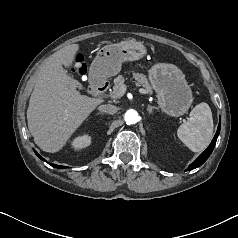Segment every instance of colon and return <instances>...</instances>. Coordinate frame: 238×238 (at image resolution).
I'll return each mask as SVG.
<instances>
[{
    "instance_id": "1",
    "label": "colon",
    "mask_w": 238,
    "mask_h": 238,
    "mask_svg": "<svg viewBox=\"0 0 238 238\" xmlns=\"http://www.w3.org/2000/svg\"><path fill=\"white\" fill-rule=\"evenodd\" d=\"M74 70L78 75H80V76L84 75L85 71H86L84 63H82V61L78 60L75 64Z\"/></svg>"
}]
</instances>
